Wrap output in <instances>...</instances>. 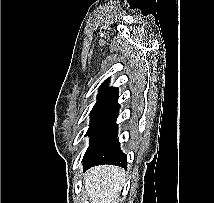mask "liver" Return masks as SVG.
Listing matches in <instances>:
<instances>
[{
	"label": "liver",
	"mask_w": 214,
	"mask_h": 203,
	"mask_svg": "<svg viewBox=\"0 0 214 203\" xmlns=\"http://www.w3.org/2000/svg\"><path fill=\"white\" fill-rule=\"evenodd\" d=\"M84 181L91 203H116L125 182V171L116 166H97L84 174Z\"/></svg>",
	"instance_id": "obj_1"
}]
</instances>
